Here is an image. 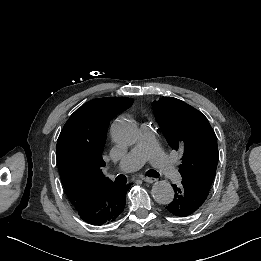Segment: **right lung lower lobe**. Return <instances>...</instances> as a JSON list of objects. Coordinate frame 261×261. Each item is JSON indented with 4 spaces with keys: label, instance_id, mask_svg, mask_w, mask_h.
Instances as JSON below:
<instances>
[{
    "label": "right lung lower lobe",
    "instance_id": "obj_1",
    "mask_svg": "<svg viewBox=\"0 0 261 261\" xmlns=\"http://www.w3.org/2000/svg\"><path fill=\"white\" fill-rule=\"evenodd\" d=\"M129 187L130 184L120 185L110 182L94 190L75 209L80 218L89 224L102 225L112 222L125 207Z\"/></svg>",
    "mask_w": 261,
    "mask_h": 261
}]
</instances>
